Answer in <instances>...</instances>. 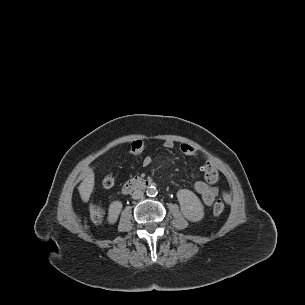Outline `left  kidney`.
Masks as SVG:
<instances>
[{
	"label": "left kidney",
	"mask_w": 305,
	"mask_h": 305,
	"mask_svg": "<svg viewBox=\"0 0 305 305\" xmlns=\"http://www.w3.org/2000/svg\"><path fill=\"white\" fill-rule=\"evenodd\" d=\"M180 210L184 217L192 222L202 220L204 217V206L196 194L188 189H180L177 192Z\"/></svg>",
	"instance_id": "left-kidney-1"
}]
</instances>
